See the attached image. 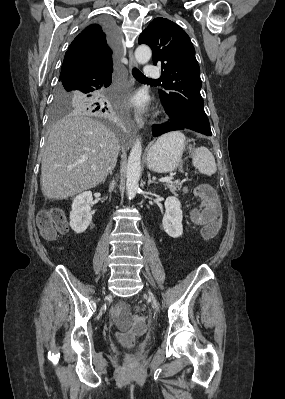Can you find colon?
<instances>
[{"instance_id": "obj_1", "label": "colon", "mask_w": 285, "mask_h": 399, "mask_svg": "<svg viewBox=\"0 0 285 399\" xmlns=\"http://www.w3.org/2000/svg\"><path fill=\"white\" fill-rule=\"evenodd\" d=\"M191 193L200 200L201 208L212 215V220L207 223L201 230L204 239L213 238L222 223L220 210L213 202L214 193L212 189L206 185H198L194 187ZM37 226L40 232L47 238H52L58 233H62L67 228V220L59 209H51L42 211L37 217ZM147 320L141 316H137L131 329L119 335V338L126 343H131L135 338L139 337L146 330ZM127 363L132 364L135 358L128 354L125 357Z\"/></svg>"}]
</instances>
